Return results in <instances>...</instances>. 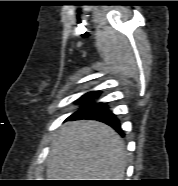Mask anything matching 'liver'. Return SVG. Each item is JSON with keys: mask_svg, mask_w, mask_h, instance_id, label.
I'll list each match as a JSON object with an SVG mask.
<instances>
[{"mask_svg": "<svg viewBox=\"0 0 178 186\" xmlns=\"http://www.w3.org/2000/svg\"><path fill=\"white\" fill-rule=\"evenodd\" d=\"M126 151L122 138L98 121L64 124L51 143L48 180H123Z\"/></svg>", "mask_w": 178, "mask_h": 186, "instance_id": "6515ba94", "label": "liver"}]
</instances>
